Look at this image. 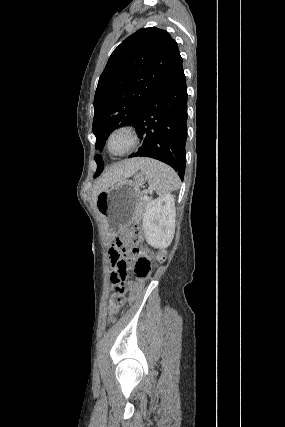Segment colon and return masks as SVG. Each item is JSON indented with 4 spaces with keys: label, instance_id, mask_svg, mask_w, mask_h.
<instances>
[{
    "label": "colon",
    "instance_id": "obj_1",
    "mask_svg": "<svg viewBox=\"0 0 285 427\" xmlns=\"http://www.w3.org/2000/svg\"><path fill=\"white\" fill-rule=\"evenodd\" d=\"M129 186V185H127ZM115 254L120 255L125 251H130L136 255V258L131 264L134 277L131 281L128 280L126 270L130 264L123 260L117 262L118 274L111 275L115 292L110 299V314L113 316L119 311L125 303V294L130 292L135 296L140 287L148 280L152 270V259L158 262L165 260V252H158L155 257L147 251L146 246L141 242L140 230L134 228L125 231L121 236L117 237L114 242Z\"/></svg>",
    "mask_w": 285,
    "mask_h": 427
}]
</instances>
